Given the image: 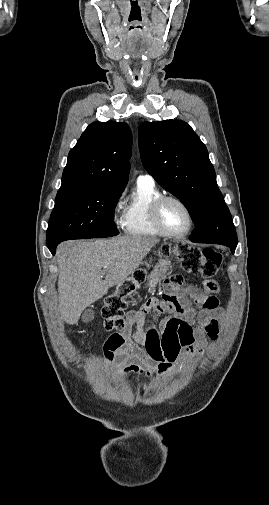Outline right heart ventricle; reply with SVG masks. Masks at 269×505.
I'll list each match as a JSON object with an SVG mask.
<instances>
[{
    "label": "right heart ventricle",
    "mask_w": 269,
    "mask_h": 505,
    "mask_svg": "<svg viewBox=\"0 0 269 505\" xmlns=\"http://www.w3.org/2000/svg\"><path fill=\"white\" fill-rule=\"evenodd\" d=\"M160 195L162 194L155 184L137 182L136 191L124 211L123 227L127 234L146 237L162 236L155 228L150 216V205Z\"/></svg>",
    "instance_id": "e07e8e85"
}]
</instances>
